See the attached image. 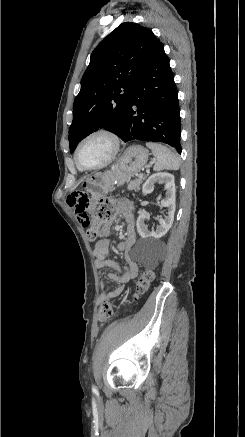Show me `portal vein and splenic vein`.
Returning a JSON list of instances; mask_svg holds the SVG:
<instances>
[{"instance_id": "portal-vein-and-splenic-vein-1", "label": "portal vein and splenic vein", "mask_w": 245, "mask_h": 437, "mask_svg": "<svg viewBox=\"0 0 245 437\" xmlns=\"http://www.w3.org/2000/svg\"><path fill=\"white\" fill-rule=\"evenodd\" d=\"M138 177L141 178V177H142V174H138Z\"/></svg>"}]
</instances>
